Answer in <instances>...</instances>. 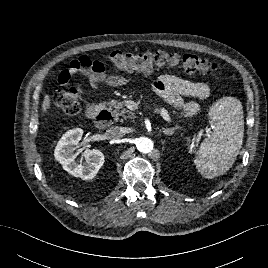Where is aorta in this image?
Instances as JSON below:
<instances>
[{
  "mask_svg": "<svg viewBox=\"0 0 268 268\" xmlns=\"http://www.w3.org/2000/svg\"><path fill=\"white\" fill-rule=\"evenodd\" d=\"M153 141L148 137H139L136 140V147L141 153H149L153 150Z\"/></svg>",
  "mask_w": 268,
  "mask_h": 268,
  "instance_id": "762f6f07",
  "label": "aorta"
}]
</instances>
